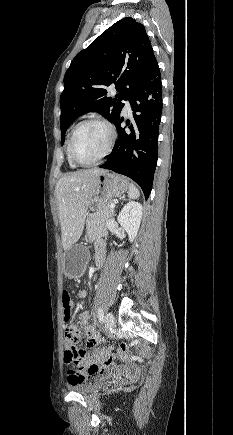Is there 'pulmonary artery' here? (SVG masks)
I'll return each mask as SVG.
<instances>
[{
  "label": "pulmonary artery",
  "mask_w": 233,
  "mask_h": 435,
  "mask_svg": "<svg viewBox=\"0 0 233 435\" xmlns=\"http://www.w3.org/2000/svg\"><path fill=\"white\" fill-rule=\"evenodd\" d=\"M130 109V103L128 101L125 102L124 110L128 111Z\"/></svg>",
  "instance_id": "pulmonary-artery-1"
}]
</instances>
